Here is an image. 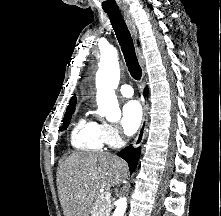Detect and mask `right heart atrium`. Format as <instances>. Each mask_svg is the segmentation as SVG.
Listing matches in <instances>:
<instances>
[{
	"mask_svg": "<svg viewBox=\"0 0 221 216\" xmlns=\"http://www.w3.org/2000/svg\"><path fill=\"white\" fill-rule=\"evenodd\" d=\"M101 134L104 143L110 146L116 145L120 139L117 127L109 123L101 124Z\"/></svg>",
	"mask_w": 221,
	"mask_h": 216,
	"instance_id": "obj_1",
	"label": "right heart atrium"
}]
</instances>
